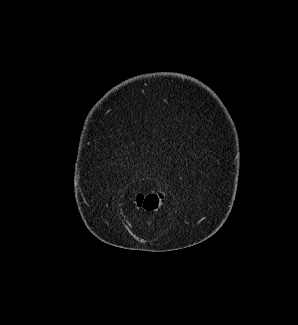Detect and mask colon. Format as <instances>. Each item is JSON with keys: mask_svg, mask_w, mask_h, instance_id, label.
<instances>
[{"mask_svg": "<svg viewBox=\"0 0 298 325\" xmlns=\"http://www.w3.org/2000/svg\"><path fill=\"white\" fill-rule=\"evenodd\" d=\"M163 202V194L158 191L141 192L135 195V205L145 211H156Z\"/></svg>", "mask_w": 298, "mask_h": 325, "instance_id": "obj_1", "label": "colon"}]
</instances>
